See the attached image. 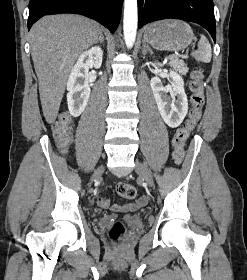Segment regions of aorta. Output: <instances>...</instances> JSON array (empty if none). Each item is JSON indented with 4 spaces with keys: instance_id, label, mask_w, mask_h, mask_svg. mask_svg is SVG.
Listing matches in <instances>:
<instances>
[{
    "instance_id": "obj_1",
    "label": "aorta",
    "mask_w": 247,
    "mask_h": 280,
    "mask_svg": "<svg viewBox=\"0 0 247 280\" xmlns=\"http://www.w3.org/2000/svg\"><path fill=\"white\" fill-rule=\"evenodd\" d=\"M137 0H124L123 32L125 44L128 48L134 45L137 34Z\"/></svg>"
}]
</instances>
